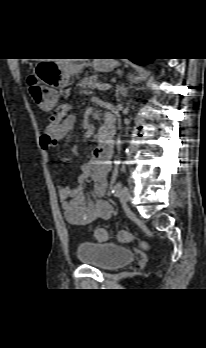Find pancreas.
Returning a JSON list of instances; mask_svg holds the SVG:
<instances>
[{
    "label": "pancreas",
    "instance_id": "pancreas-1",
    "mask_svg": "<svg viewBox=\"0 0 206 348\" xmlns=\"http://www.w3.org/2000/svg\"><path fill=\"white\" fill-rule=\"evenodd\" d=\"M97 79H98L97 75L86 77L78 83V86L88 87L90 89L96 88L98 86Z\"/></svg>",
    "mask_w": 206,
    "mask_h": 348
}]
</instances>
